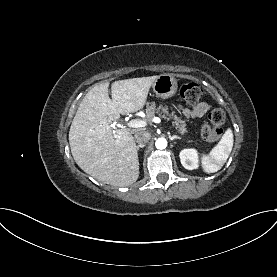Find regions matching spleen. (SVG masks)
Listing matches in <instances>:
<instances>
[{
	"instance_id": "spleen-1",
	"label": "spleen",
	"mask_w": 277,
	"mask_h": 277,
	"mask_svg": "<svg viewBox=\"0 0 277 277\" xmlns=\"http://www.w3.org/2000/svg\"><path fill=\"white\" fill-rule=\"evenodd\" d=\"M233 142V132L228 128L209 155H203L202 166L205 172L214 173L223 167L232 151Z\"/></svg>"
}]
</instances>
